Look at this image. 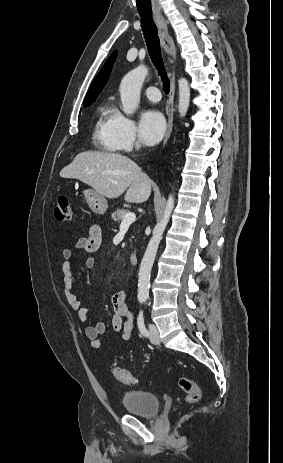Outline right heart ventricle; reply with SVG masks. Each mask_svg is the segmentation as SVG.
Wrapping results in <instances>:
<instances>
[{
    "mask_svg": "<svg viewBox=\"0 0 283 463\" xmlns=\"http://www.w3.org/2000/svg\"><path fill=\"white\" fill-rule=\"evenodd\" d=\"M114 114L113 108H104L94 128L93 137L96 145L107 152H116L120 149L113 133Z\"/></svg>",
    "mask_w": 283,
    "mask_h": 463,
    "instance_id": "1",
    "label": "right heart ventricle"
}]
</instances>
